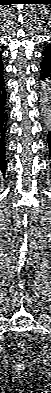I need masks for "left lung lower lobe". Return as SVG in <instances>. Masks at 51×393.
Wrapping results in <instances>:
<instances>
[{
	"mask_svg": "<svg viewBox=\"0 0 51 393\" xmlns=\"http://www.w3.org/2000/svg\"><path fill=\"white\" fill-rule=\"evenodd\" d=\"M41 78L42 80H48L51 83V54L43 52V60L41 62ZM48 145L51 155V131L48 134Z\"/></svg>",
	"mask_w": 51,
	"mask_h": 393,
	"instance_id": "left-lung-lower-lobe-1",
	"label": "left lung lower lobe"
}]
</instances>
